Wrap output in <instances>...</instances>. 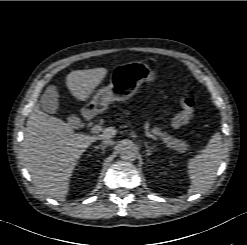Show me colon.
<instances>
[{
    "label": "colon",
    "mask_w": 247,
    "mask_h": 245,
    "mask_svg": "<svg viewBox=\"0 0 247 245\" xmlns=\"http://www.w3.org/2000/svg\"><path fill=\"white\" fill-rule=\"evenodd\" d=\"M179 105L181 110L172 118L171 122L174 128H181L187 125L195 111V100L189 94L181 95Z\"/></svg>",
    "instance_id": "5ec220e1"
}]
</instances>
